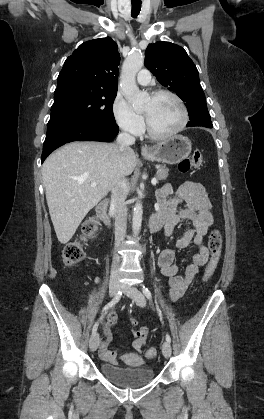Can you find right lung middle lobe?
Returning a JSON list of instances; mask_svg holds the SVG:
<instances>
[{
  "instance_id": "1",
  "label": "right lung middle lobe",
  "mask_w": 264,
  "mask_h": 419,
  "mask_svg": "<svg viewBox=\"0 0 264 419\" xmlns=\"http://www.w3.org/2000/svg\"><path fill=\"white\" fill-rule=\"evenodd\" d=\"M116 95L79 84L56 88L46 135L78 122L115 123L112 105Z\"/></svg>"
}]
</instances>
